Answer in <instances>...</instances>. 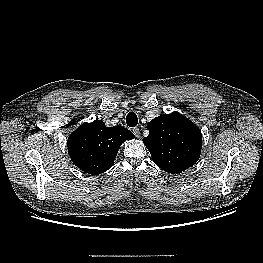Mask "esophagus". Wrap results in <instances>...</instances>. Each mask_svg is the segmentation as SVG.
<instances>
[{
  "instance_id": "34e87169",
  "label": "esophagus",
  "mask_w": 263,
  "mask_h": 263,
  "mask_svg": "<svg viewBox=\"0 0 263 263\" xmlns=\"http://www.w3.org/2000/svg\"><path fill=\"white\" fill-rule=\"evenodd\" d=\"M133 133H134V135H135L136 138H139V137H140V131H139V128H137V127L134 128V129H133Z\"/></svg>"
}]
</instances>
